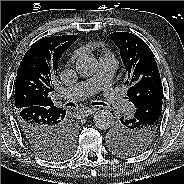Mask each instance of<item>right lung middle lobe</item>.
I'll use <instances>...</instances> for the list:
<instances>
[{"instance_id": "right-lung-middle-lobe-1", "label": "right lung middle lobe", "mask_w": 184, "mask_h": 184, "mask_svg": "<svg viewBox=\"0 0 184 184\" xmlns=\"http://www.w3.org/2000/svg\"><path fill=\"white\" fill-rule=\"evenodd\" d=\"M75 145V130L69 128L60 145L39 151V155L49 160H61L67 158Z\"/></svg>"}]
</instances>
